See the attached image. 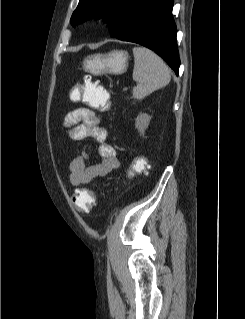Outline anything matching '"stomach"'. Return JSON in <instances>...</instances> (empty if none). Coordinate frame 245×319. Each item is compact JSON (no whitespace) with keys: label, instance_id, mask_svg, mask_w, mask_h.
<instances>
[{"label":"stomach","instance_id":"0dacf381","mask_svg":"<svg viewBox=\"0 0 245 319\" xmlns=\"http://www.w3.org/2000/svg\"><path fill=\"white\" fill-rule=\"evenodd\" d=\"M83 65L85 71L94 75L122 74L128 67V53L114 50L107 54L91 55L84 60Z\"/></svg>","mask_w":245,"mask_h":319}]
</instances>
